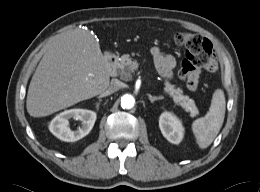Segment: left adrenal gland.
Returning <instances> with one entry per match:
<instances>
[{
  "instance_id": "a2214340",
  "label": "left adrenal gland",
  "mask_w": 260,
  "mask_h": 192,
  "mask_svg": "<svg viewBox=\"0 0 260 192\" xmlns=\"http://www.w3.org/2000/svg\"><path fill=\"white\" fill-rule=\"evenodd\" d=\"M148 98H149V100H150V102L151 103H153L154 101H157V100H162V99H164V97H162V96H159V97H157V96H152V95H148Z\"/></svg>"
}]
</instances>
